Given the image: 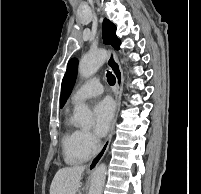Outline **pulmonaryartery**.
I'll return each mask as SVG.
<instances>
[{
  "label": "pulmonary artery",
  "mask_w": 201,
  "mask_h": 194,
  "mask_svg": "<svg viewBox=\"0 0 201 194\" xmlns=\"http://www.w3.org/2000/svg\"><path fill=\"white\" fill-rule=\"evenodd\" d=\"M103 93V85L99 79L93 78L82 84L72 95V104H78L89 98L101 95Z\"/></svg>",
  "instance_id": "obj_1"
}]
</instances>
